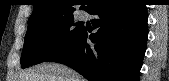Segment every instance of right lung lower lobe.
I'll list each match as a JSON object with an SVG mask.
<instances>
[{"label":"right lung lower lobe","mask_w":169,"mask_h":81,"mask_svg":"<svg viewBox=\"0 0 169 81\" xmlns=\"http://www.w3.org/2000/svg\"><path fill=\"white\" fill-rule=\"evenodd\" d=\"M90 14L98 29L83 27L70 43L45 61L65 64L89 81H138L148 36L147 8L138 0H94Z\"/></svg>","instance_id":"1"}]
</instances>
